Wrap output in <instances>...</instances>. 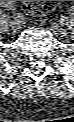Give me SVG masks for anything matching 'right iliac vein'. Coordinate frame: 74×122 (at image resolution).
<instances>
[{
  "label": "right iliac vein",
  "instance_id": "1",
  "mask_svg": "<svg viewBox=\"0 0 74 122\" xmlns=\"http://www.w3.org/2000/svg\"><path fill=\"white\" fill-rule=\"evenodd\" d=\"M12 24L15 25V26L12 27V31H13L14 33H17V31H18V26H17L16 23H14V22H12Z\"/></svg>",
  "mask_w": 74,
  "mask_h": 122
}]
</instances>
